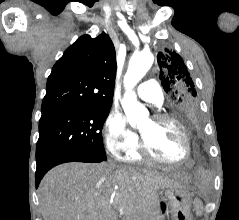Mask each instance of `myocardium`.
Returning a JSON list of instances; mask_svg holds the SVG:
<instances>
[{
  "label": "myocardium",
  "instance_id": "f54148a6",
  "mask_svg": "<svg viewBox=\"0 0 239 220\" xmlns=\"http://www.w3.org/2000/svg\"><path fill=\"white\" fill-rule=\"evenodd\" d=\"M151 119L156 123L173 124L180 129L185 142V154L179 160H168V159L162 158L153 152V150L151 149V147L146 142L143 136L141 137V141L139 145L141 154L150 160L163 163V164H168V165H180L186 162L191 156V140L185 125L182 122H180L178 119H176L175 117L170 116L168 114L158 113L153 115Z\"/></svg>",
  "mask_w": 239,
  "mask_h": 220
}]
</instances>
